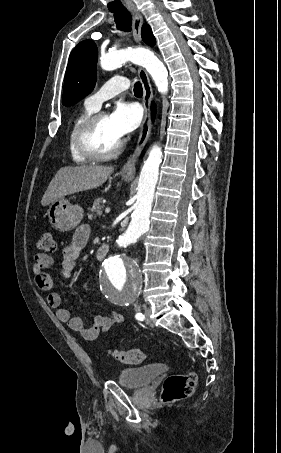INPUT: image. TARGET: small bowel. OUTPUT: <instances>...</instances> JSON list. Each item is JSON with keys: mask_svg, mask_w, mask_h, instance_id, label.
<instances>
[{"mask_svg": "<svg viewBox=\"0 0 281 453\" xmlns=\"http://www.w3.org/2000/svg\"><path fill=\"white\" fill-rule=\"evenodd\" d=\"M90 238V231L87 225H79L72 237V241L64 246L62 252V267L61 272L65 277H70L75 272V264L79 259L82 250L87 246ZM99 245H106L100 243ZM107 246V245H106ZM52 257L45 253H37L33 258V274L38 288L42 291L49 292L52 288L50 269L52 266ZM88 287V280L85 279L82 283L83 291ZM47 299L51 307L57 309V316L61 322H65L69 327L78 332L83 339L93 340L102 332L110 329L114 325L121 324L123 317L116 314L112 317L104 315H95L88 324H85L83 319L73 316L72 313L65 308H62V299L60 293L49 292Z\"/></svg>", "mask_w": 281, "mask_h": 453, "instance_id": "small-bowel-1", "label": "small bowel"}]
</instances>
